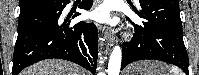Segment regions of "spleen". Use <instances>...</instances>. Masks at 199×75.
<instances>
[{"label": "spleen", "mask_w": 199, "mask_h": 75, "mask_svg": "<svg viewBox=\"0 0 199 75\" xmlns=\"http://www.w3.org/2000/svg\"><path fill=\"white\" fill-rule=\"evenodd\" d=\"M171 72L173 75H183L181 71L176 67H171Z\"/></svg>", "instance_id": "obj_1"}]
</instances>
